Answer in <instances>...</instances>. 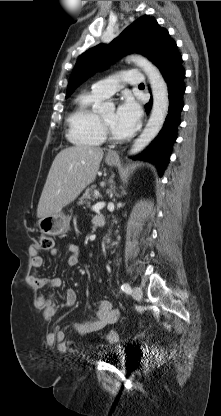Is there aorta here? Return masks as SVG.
<instances>
[{"label":"aorta","instance_id":"1","mask_svg":"<svg viewBox=\"0 0 221 416\" xmlns=\"http://www.w3.org/2000/svg\"><path fill=\"white\" fill-rule=\"evenodd\" d=\"M128 60L134 62L146 74L153 95L151 116L129 152L130 155H136L157 136L163 126L169 108L168 88L160 71L147 58L132 55Z\"/></svg>","mask_w":221,"mask_h":416}]
</instances>
